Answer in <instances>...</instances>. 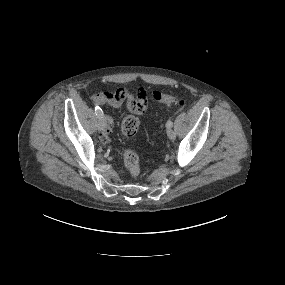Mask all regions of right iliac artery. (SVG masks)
Here are the masks:
<instances>
[{"instance_id":"obj_1","label":"right iliac artery","mask_w":285,"mask_h":285,"mask_svg":"<svg viewBox=\"0 0 285 285\" xmlns=\"http://www.w3.org/2000/svg\"><path fill=\"white\" fill-rule=\"evenodd\" d=\"M95 114L99 117L101 115H103V111L99 106L95 107Z\"/></svg>"}]
</instances>
